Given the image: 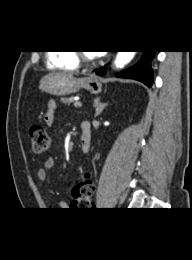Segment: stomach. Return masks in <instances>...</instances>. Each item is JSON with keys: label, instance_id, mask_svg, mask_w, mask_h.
Masks as SVG:
<instances>
[{"label": "stomach", "instance_id": "stomach-1", "mask_svg": "<svg viewBox=\"0 0 192 260\" xmlns=\"http://www.w3.org/2000/svg\"><path fill=\"white\" fill-rule=\"evenodd\" d=\"M39 88L55 96L69 95L80 89H86L92 94H97L102 90V84L99 79L93 76L74 78L59 73H51L40 80Z\"/></svg>", "mask_w": 192, "mask_h": 260}]
</instances>
